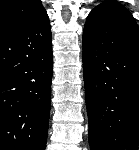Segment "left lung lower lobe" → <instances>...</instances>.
I'll use <instances>...</instances> for the list:
<instances>
[{"mask_svg":"<svg viewBox=\"0 0 139 150\" xmlns=\"http://www.w3.org/2000/svg\"><path fill=\"white\" fill-rule=\"evenodd\" d=\"M83 71L91 150L139 145V34L131 13L105 1L88 15Z\"/></svg>","mask_w":139,"mask_h":150,"instance_id":"obj_1","label":"left lung lower lobe"}]
</instances>
